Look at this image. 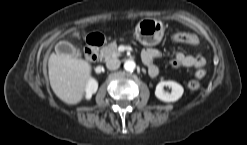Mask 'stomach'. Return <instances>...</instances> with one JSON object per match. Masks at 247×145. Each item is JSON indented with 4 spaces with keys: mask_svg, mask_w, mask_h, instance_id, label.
Listing matches in <instances>:
<instances>
[{
    "mask_svg": "<svg viewBox=\"0 0 247 145\" xmlns=\"http://www.w3.org/2000/svg\"><path fill=\"white\" fill-rule=\"evenodd\" d=\"M135 35L143 45H157L163 38L164 25L156 19H142L136 26Z\"/></svg>",
    "mask_w": 247,
    "mask_h": 145,
    "instance_id": "1",
    "label": "stomach"
}]
</instances>
